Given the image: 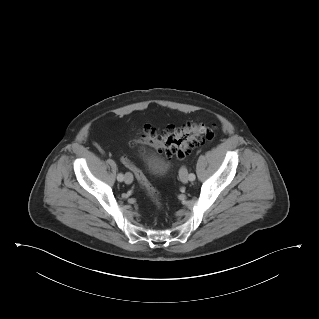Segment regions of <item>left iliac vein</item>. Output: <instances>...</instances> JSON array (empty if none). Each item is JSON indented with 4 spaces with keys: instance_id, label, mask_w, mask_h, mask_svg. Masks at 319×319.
<instances>
[{
    "instance_id": "4c4485c4",
    "label": "left iliac vein",
    "mask_w": 319,
    "mask_h": 319,
    "mask_svg": "<svg viewBox=\"0 0 319 319\" xmlns=\"http://www.w3.org/2000/svg\"><path fill=\"white\" fill-rule=\"evenodd\" d=\"M179 176L183 183H187L189 181L188 172L185 167L181 168Z\"/></svg>"
}]
</instances>
